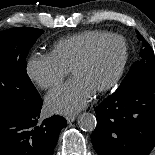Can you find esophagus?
<instances>
[{
	"label": "esophagus",
	"mask_w": 155,
	"mask_h": 155,
	"mask_svg": "<svg viewBox=\"0 0 155 155\" xmlns=\"http://www.w3.org/2000/svg\"><path fill=\"white\" fill-rule=\"evenodd\" d=\"M76 119V116H67L66 120L68 123H72Z\"/></svg>",
	"instance_id": "esophagus-1"
}]
</instances>
